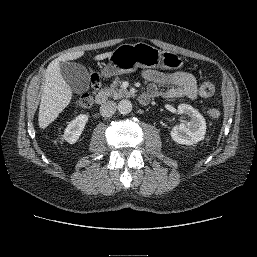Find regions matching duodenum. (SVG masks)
<instances>
[{
	"label": "duodenum",
	"mask_w": 257,
	"mask_h": 257,
	"mask_svg": "<svg viewBox=\"0 0 257 257\" xmlns=\"http://www.w3.org/2000/svg\"><path fill=\"white\" fill-rule=\"evenodd\" d=\"M106 100H107V92L106 91H101L95 96V101L99 105L104 104L106 102ZM139 101L141 104H146V103H148V97L140 95Z\"/></svg>",
	"instance_id": "obj_1"
}]
</instances>
